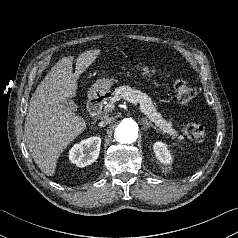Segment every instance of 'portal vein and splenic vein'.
Segmentation results:
<instances>
[{"mask_svg": "<svg viewBox=\"0 0 238 238\" xmlns=\"http://www.w3.org/2000/svg\"><path fill=\"white\" fill-rule=\"evenodd\" d=\"M125 100H127L128 102L134 104L135 106H138V102H136V101L133 100V99L127 98V99H125ZM113 107H114V105H113V106H109V108H113Z\"/></svg>", "mask_w": 238, "mask_h": 238, "instance_id": "1", "label": "portal vein and splenic vein"}]
</instances>
